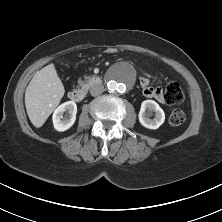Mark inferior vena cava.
Returning <instances> with one entry per match:
<instances>
[{
  "label": "inferior vena cava",
  "instance_id": "602c4592",
  "mask_svg": "<svg viewBox=\"0 0 222 222\" xmlns=\"http://www.w3.org/2000/svg\"><path fill=\"white\" fill-rule=\"evenodd\" d=\"M104 92V86L102 84H96L91 87L90 94L92 96H98Z\"/></svg>",
  "mask_w": 222,
  "mask_h": 222
}]
</instances>
